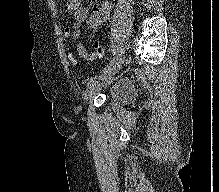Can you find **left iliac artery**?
<instances>
[{
  "label": "left iliac artery",
  "instance_id": "1",
  "mask_svg": "<svg viewBox=\"0 0 219 192\" xmlns=\"http://www.w3.org/2000/svg\"><path fill=\"white\" fill-rule=\"evenodd\" d=\"M118 57V55H116L103 69L102 72H105L114 62V60Z\"/></svg>",
  "mask_w": 219,
  "mask_h": 192
}]
</instances>
